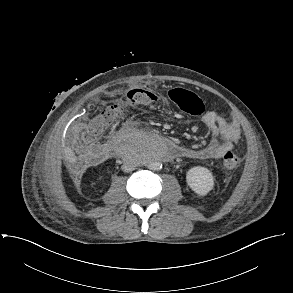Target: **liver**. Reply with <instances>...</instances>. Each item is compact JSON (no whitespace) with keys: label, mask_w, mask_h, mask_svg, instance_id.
Segmentation results:
<instances>
[{"label":"liver","mask_w":293,"mask_h":293,"mask_svg":"<svg viewBox=\"0 0 293 293\" xmlns=\"http://www.w3.org/2000/svg\"><path fill=\"white\" fill-rule=\"evenodd\" d=\"M63 154H64V159L69 164H75L77 162V157H76L75 153L73 152V150L69 146L64 148Z\"/></svg>","instance_id":"obj_1"}]
</instances>
